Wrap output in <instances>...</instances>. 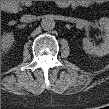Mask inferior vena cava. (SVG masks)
Returning a JSON list of instances; mask_svg holds the SVG:
<instances>
[{
	"label": "inferior vena cava",
	"mask_w": 109,
	"mask_h": 109,
	"mask_svg": "<svg viewBox=\"0 0 109 109\" xmlns=\"http://www.w3.org/2000/svg\"><path fill=\"white\" fill-rule=\"evenodd\" d=\"M22 22L29 23L35 20V16L33 15H23L20 19Z\"/></svg>",
	"instance_id": "inferior-vena-cava-1"
}]
</instances>
